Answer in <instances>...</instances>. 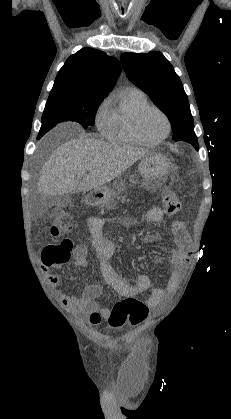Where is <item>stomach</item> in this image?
Listing matches in <instances>:
<instances>
[{
  "mask_svg": "<svg viewBox=\"0 0 231 419\" xmlns=\"http://www.w3.org/2000/svg\"><path fill=\"white\" fill-rule=\"evenodd\" d=\"M138 169L144 179L143 186L149 190H154L165 181L170 171V163L160 153H148L141 158ZM119 191L118 187H101L88 194L85 200L91 205H105L110 203Z\"/></svg>",
  "mask_w": 231,
  "mask_h": 419,
  "instance_id": "0dacf381",
  "label": "stomach"
}]
</instances>
